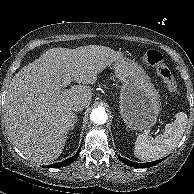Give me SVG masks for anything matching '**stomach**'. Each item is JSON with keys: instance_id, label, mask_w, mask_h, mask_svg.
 I'll return each instance as SVG.
<instances>
[{"instance_id": "1", "label": "stomach", "mask_w": 194, "mask_h": 194, "mask_svg": "<svg viewBox=\"0 0 194 194\" xmlns=\"http://www.w3.org/2000/svg\"><path fill=\"white\" fill-rule=\"evenodd\" d=\"M117 78L122 82L120 113L127 127L149 130L160 111L159 96L143 68L133 60L123 58L114 62Z\"/></svg>"}]
</instances>
